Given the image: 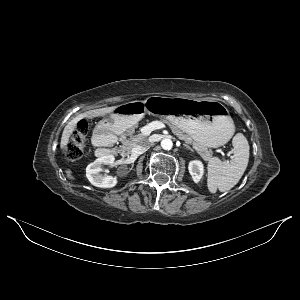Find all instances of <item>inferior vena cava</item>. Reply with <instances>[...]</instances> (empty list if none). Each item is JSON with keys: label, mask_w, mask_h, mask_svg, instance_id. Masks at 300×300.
Segmentation results:
<instances>
[{"label": "inferior vena cava", "mask_w": 300, "mask_h": 300, "mask_svg": "<svg viewBox=\"0 0 300 300\" xmlns=\"http://www.w3.org/2000/svg\"><path fill=\"white\" fill-rule=\"evenodd\" d=\"M151 142L148 139H144L139 145L135 146L132 149V153L135 155H139L147 151V149L151 146Z\"/></svg>", "instance_id": "602c4592"}]
</instances>
